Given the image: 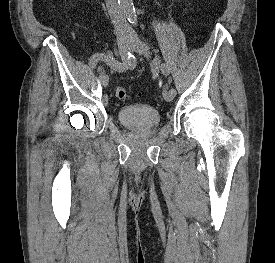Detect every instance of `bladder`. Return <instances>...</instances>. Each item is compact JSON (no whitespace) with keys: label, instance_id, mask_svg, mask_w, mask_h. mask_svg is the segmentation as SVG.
Returning <instances> with one entry per match:
<instances>
[{"label":"bladder","instance_id":"31cf9c89","mask_svg":"<svg viewBox=\"0 0 275 263\" xmlns=\"http://www.w3.org/2000/svg\"><path fill=\"white\" fill-rule=\"evenodd\" d=\"M160 113L146 105L125 106L118 110L120 124L132 130H145L156 126L160 121Z\"/></svg>","mask_w":275,"mask_h":263}]
</instances>
